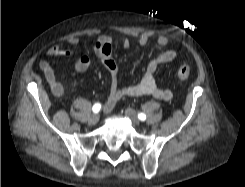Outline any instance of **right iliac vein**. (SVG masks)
Wrapping results in <instances>:
<instances>
[{"label":"right iliac vein","instance_id":"obj_1","mask_svg":"<svg viewBox=\"0 0 245 187\" xmlns=\"http://www.w3.org/2000/svg\"><path fill=\"white\" fill-rule=\"evenodd\" d=\"M98 121H99V115L98 114L91 115V117L88 120L89 124H91V125L97 124Z\"/></svg>","mask_w":245,"mask_h":187}]
</instances>
